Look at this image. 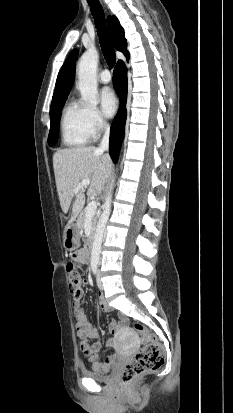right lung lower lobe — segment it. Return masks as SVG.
Masks as SVG:
<instances>
[{"instance_id":"right-lung-lower-lobe-1","label":"right lung lower lobe","mask_w":233,"mask_h":413,"mask_svg":"<svg viewBox=\"0 0 233 413\" xmlns=\"http://www.w3.org/2000/svg\"><path fill=\"white\" fill-rule=\"evenodd\" d=\"M125 56L129 58V54H126ZM113 84L121 100L119 114L114 118L110 129V156L114 163H116L123 139L126 121L127 68L121 60L118 61L114 69Z\"/></svg>"}]
</instances>
